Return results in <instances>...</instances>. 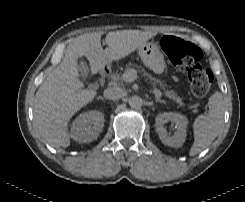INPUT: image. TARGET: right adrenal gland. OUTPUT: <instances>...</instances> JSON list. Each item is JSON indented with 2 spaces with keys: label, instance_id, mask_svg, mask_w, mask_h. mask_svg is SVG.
Returning <instances> with one entry per match:
<instances>
[{
  "label": "right adrenal gland",
  "instance_id": "1",
  "mask_svg": "<svg viewBox=\"0 0 245 202\" xmlns=\"http://www.w3.org/2000/svg\"><path fill=\"white\" fill-rule=\"evenodd\" d=\"M98 100H105V98H103V97H99V98H98Z\"/></svg>",
  "mask_w": 245,
  "mask_h": 202
}]
</instances>
